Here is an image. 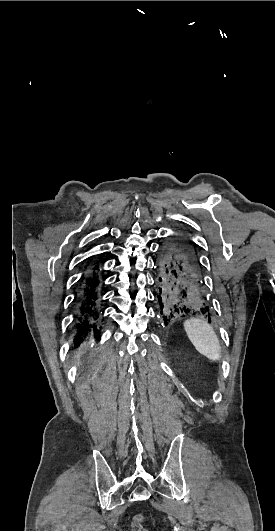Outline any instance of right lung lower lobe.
I'll return each instance as SVG.
<instances>
[{
    "label": "right lung lower lobe",
    "instance_id": "obj_1",
    "mask_svg": "<svg viewBox=\"0 0 275 531\" xmlns=\"http://www.w3.org/2000/svg\"><path fill=\"white\" fill-rule=\"evenodd\" d=\"M98 264H94L91 270L83 277L78 292V310L75 317V344H80L82 338L93 334L100 338L98 326V311L96 307L98 296Z\"/></svg>",
    "mask_w": 275,
    "mask_h": 531
}]
</instances>
